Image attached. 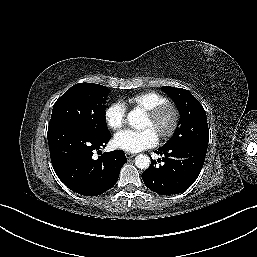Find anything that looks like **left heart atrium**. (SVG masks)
I'll list each match as a JSON object with an SVG mask.
<instances>
[{
	"label": "left heart atrium",
	"instance_id": "1",
	"mask_svg": "<svg viewBox=\"0 0 257 257\" xmlns=\"http://www.w3.org/2000/svg\"><path fill=\"white\" fill-rule=\"evenodd\" d=\"M158 135L151 129L124 130L114 137V145L127 152H140L158 144Z\"/></svg>",
	"mask_w": 257,
	"mask_h": 257
}]
</instances>
